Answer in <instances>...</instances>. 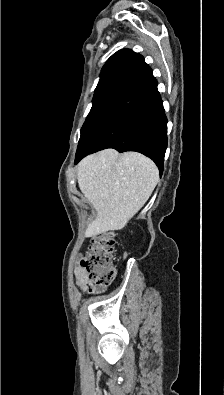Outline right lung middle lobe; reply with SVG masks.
Instances as JSON below:
<instances>
[{
	"label": "right lung middle lobe",
	"instance_id": "dd1d6c3e",
	"mask_svg": "<svg viewBox=\"0 0 224 395\" xmlns=\"http://www.w3.org/2000/svg\"><path fill=\"white\" fill-rule=\"evenodd\" d=\"M117 75H118V72H114L109 75L100 77L99 83L95 89V93H94V97H93V105H92L91 111L88 114V117L81 129V132L84 129V127H85L86 123L88 122V120L90 119V117L92 116V114L94 113V111L96 110L97 106L100 104V102L103 100L104 96L110 90Z\"/></svg>",
	"mask_w": 224,
	"mask_h": 395
}]
</instances>
